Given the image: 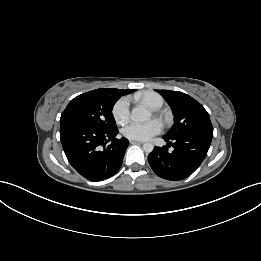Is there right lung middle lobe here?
I'll return each mask as SVG.
<instances>
[{
  "instance_id": "right-lung-middle-lobe-1",
  "label": "right lung middle lobe",
  "mask_w": 261,
  "mask_h": 261,
  "mask_svg": "<svg viewBox=\"0 0 261 261\" xmlns=\"http://www.w3.org/2000/svg\"><path fill=\"white\" fill-rule=\"evenodd\" d=\"M123 94L118 89H96L72 99L63 111L60 122L90 126L102 131L116 127L112 109Z\"/></svg>"
}]
</instances>
